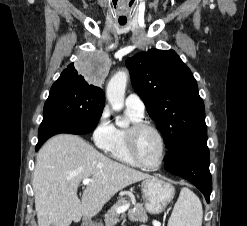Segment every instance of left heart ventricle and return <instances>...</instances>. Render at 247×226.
<instances>
[{"mask_svg":"<svg viewBox=\"0 0 247 226\" xmlns=\"http://www.w3.org/2000/svg\"><path fill=\"white\" fill-rule=\"evenodd\" d=\"M136 149L140 159L146 164H156L160 159V140L151 130H143L137 135Z\"/></svg>","mask_w":247,"mask_h":226,"instance_id":"1","label":"left heart ventricle"}]
</instances>
